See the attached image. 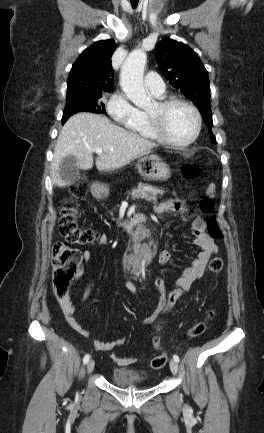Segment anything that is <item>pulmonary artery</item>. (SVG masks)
I'll return each instance as SVG.
<instances>
[{"instance_id": "1", "label": "pulmonary artery", "mask_w": 264, "mask_h": 433, "mask_svg": "<svg viewBox=\"0 0 264 433\" xmlns=\"http://www.w3.org/2000/svg\"><path fill=\"white\" fill-rule=\"evenodd\" d=\"M147 89L156 96L165 94L166 88L163 79L155 72H149L145 77Z\"/></svg>"}]
</instances>
